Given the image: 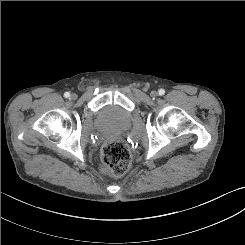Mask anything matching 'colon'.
Here are the masks:
<instances>
[{
  "label": "colon",
  "instance_id": "obj_1",
  "mask_svg": "<svg viewBox=\"0 0 245 245\" xmlns=\"http://www.w3.org/2000/svg\"><path fill=\"white\" fill-rule=\"evenodd\" d=\"M101 162L105 173L119 177L130 167L131 155L127 146L122 141L115 139L104 145Z\"/></svg>",
  "mask_w": 245,
  "mask_h": 245
}]
</instances>
